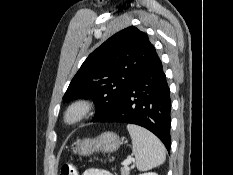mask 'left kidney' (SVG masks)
Masks as SVG:
<instances>
[{
  "label": "left kidney",
  "instance_id": "1",
  "mask_svg": "<svg viewBox=\"0 0 233 175\" xmlns=\"http://www.w3.org/2000/svg\"><path fill=\"white\" fill-rule=\"evenodd\" d=\"M140 175H158V174L155 173V172H148V173H143V174H140Z\"/></svg>",
  "mask_w": 233,
  "mask_h": 175
}]
</instances>
